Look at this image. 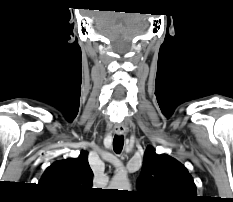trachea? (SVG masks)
Instances as JSON below:
<instances>
[{"label":"trachea","mask_w":233,"mask_h":202,"mask_svg":"<svg viewBox=\"0 0 233 202\" xmlns=\"http://www.w3.org/2000/svg\"><path fill=\"white\" fill-rule=\"evenodd\" d=\"M124 145V137L115 135L113 139V149L116 153H120L122 151Z\"/></svg>","instance_id":"obj_1"}]
</instances>
